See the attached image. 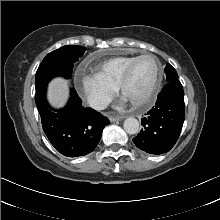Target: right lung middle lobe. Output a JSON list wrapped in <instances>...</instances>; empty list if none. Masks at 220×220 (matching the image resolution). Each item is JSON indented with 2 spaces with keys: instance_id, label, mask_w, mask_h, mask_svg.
<instances>
[{
  "instance_id": "1",
  "label": "right lung middle lobe",
  "mask_w": 220,
  "mask_h": 220,
  "mask_svg": "<svg viewBox=\"0 0 220 220\" xmlns=\"http://www.w3.org/2000/svg\"><path fill=\"white\" fill-rule=\"evenodd\" d=\"M85 50L83 46L66 45L49 53L37 69L36 92L46 87L50 79L55 76L70 78L74 63Z\"/></svg>"
}]
</instances>
